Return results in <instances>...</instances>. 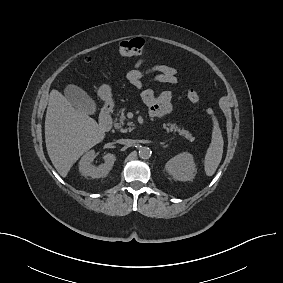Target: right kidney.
Masks as SVG:
<instances>
[{
    "label": "right kidney",
    "mask_w": 283,
    "mask_h": 283,
    "mask_svg": "<svg viewBox=\"0 0 283 283\" xmlns=\"http://www.w3.org/2000/svg\"><path fill=\"white\" fill-rule=\"evenodd\" d=\"M95 158L94 150L88 151L79 162V172L84 177L91 178H103L109 173L112 169L113 164L116 160L114 154L108 153L104 155V163L99 167L90 165V162Z\"/></svg>",
    "instance_id": "right-kidney-1"
}]
</instances>
